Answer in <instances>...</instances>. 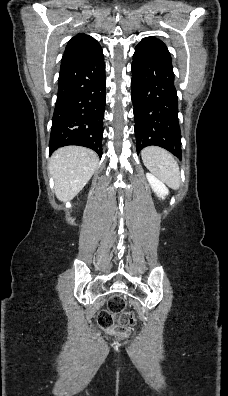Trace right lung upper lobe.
<instances>
[{
  "label": "right lung upper lobe",
  "instance_id": "obj_1",
  "mask_svg": "<svg viewBox=\"0 0 228 396\" xmlns=\"http://www.w3.org/2000/svg\"><path fill=\"white\" fill-rule=\"evenodd\" d=\"M100 46L98 42L89 35L77 34L67 44L62 61L68 58L82 55L87 51Z\"/></svg>",
  "mask_w": 228,
  "mask_h": 396
}]
</instances>
